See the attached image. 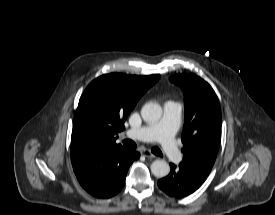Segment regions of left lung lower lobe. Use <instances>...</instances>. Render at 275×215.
Returning a JSON list of instances; mask_svg holds the SVG:
<instances>
[{
    "instance_id": "0a47b994",
    "label": "left lung lower lobe",
    "mask_w": 275,
    "mask_h": 215,
    "mask_svg": "<svg viewBox=\"0 0 275 215\" xmlns=\"http://www.w3.org/2000/svg\"><path fill=\"white\" fill-rule=\"evenodd\" d=\"M171 171L168 176L158 181L159 188L171 197L181 198L196 191L206 180L207 175L195 172L184 164L177 167L170 164Z\"/></svg>"
}]
</instances>
